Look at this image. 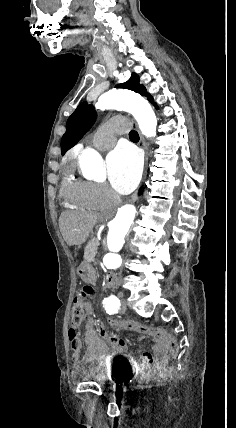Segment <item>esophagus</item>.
Wrapping results in <instances>:
<instances>
[{
	"instance_id": "obj_1",
	"label": "esophagus",
	"mask_w": 236,
	"mask_h": 428,
	"mask_svg": "<svg viewBox=\"0 0 236 428\" xmlns=\"http://www.w3.org/2000/svg\"><path fill=\"white\" fill-rule=\"evenodd\" d=\"M131 124H132V126L137 130V132H138V135H139V138H140V140H139V144L140 145H142V147L146 150V152H147V145H146V143H145V140H144V137L141 135V133H140V131H139V129H138V127H137V124L134 122V120H131ZM147 160H148V157L146 156V166H147ZM132 198H136V195H133L132 196Z\"/></svg>"
}]
</instances>
